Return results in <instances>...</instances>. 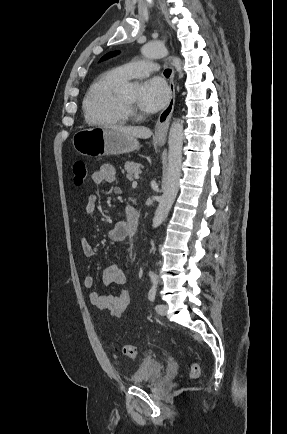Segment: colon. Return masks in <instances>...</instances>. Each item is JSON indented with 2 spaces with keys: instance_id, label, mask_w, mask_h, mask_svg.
Here are the masks:
<instances>
[{
  "instance_id": "1",
  "label": "colon",
  "mask_w": 287,
  "mask_h": 434,
  "mask_svg": "<svg viewBox=\"0 0 287 434\" xmlns=\"http://www.w3.org/2000/svg\"><path fill=\"white\" fill-rule=\"evenodd\" d=\"M73 184L77 187L81 186L86 177H87V168L83 161L78 160L74 162L73 167ZM120 351L122 354L127 357L134 359L137 356V347L134 345H121L119 346ZM201 374L200 365L193 361L190 364V377L192 379H197Z\"/></svg>"
}]
</instances>
